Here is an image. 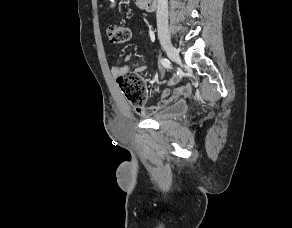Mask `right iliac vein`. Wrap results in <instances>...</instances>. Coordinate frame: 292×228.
I'll use <instances>...</instances> for the list:
<instances>
[{
    "instance_id": "right-iliac-vein-1",
    "label": "right iliac vein",
    "mask_w": 292,
    "mask_h": 228,
    "mask_svg": "<svg viewBox=\"0 0 292 228\" xmlns=\"http://www.w3.org/2000/svg\"><path fill=\"white\" fill-rule=\"evenodd\" d=\"M162 47L172 61L181 64L179 53L170 42H163Z\"/></svg>"
}]
</instances>
